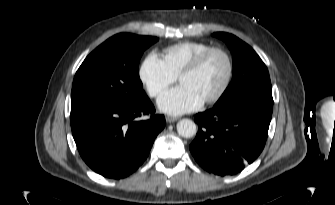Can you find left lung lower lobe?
I'll list each match as a JSON object with an SVG mask.
<instances>
[{
    "label": "left lung lower lobe",
    "mask_w": 335,
    "mask_h": 205,
    "mask_svg": "<svg viewBox=\"0 0 335 205\" xmlns=\"http://www.w3.org/2000/svg\"><path fill=\"white\" fill-rule=\"evenodd\" d=\"M273 105L237 99L195 115L198 133L190 145L197 163L217 175H234L262 152Z\"/></svg>",
    "instance_id": "left-lung-lower-lobe-1"
}]
</instances>
